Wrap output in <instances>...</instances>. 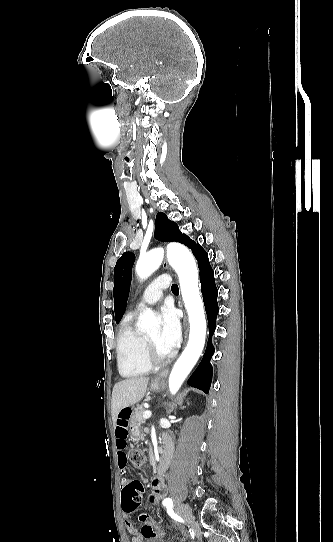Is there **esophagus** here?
<instances>
[{
  "label": "esophagus",
  "mask_w": 333,
  "mask_h": 542,
  "mask_svg": "<svg viewBox=\"0 0 333 542\" xmlns=\"http://www.w3.org/2000/svg\"><path fill=\"white\" fill-rule=\"evenodd\" d=\"M163 268L168 270L169 269V266H168V263H167V260L164 259V262H163ZM178 307L179 308H183V303H182V300L179 299L178 300ZM187 336H188V321H187V318H186V314H185V318H184V341L186 342L187 340ZM169 373V370L168 368H164L162 370H160L159 374L152 380V382H159L161 379L167 377Z\"/></svg>",
  "instance_id": "34e87169"
}]
</instances>
